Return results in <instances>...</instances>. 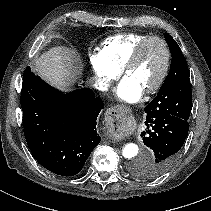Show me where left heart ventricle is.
Returning a JSON list of instances; mask_svg holds the SVG:
<instances>
[{
  "instance_id": "1",
  "label": "left heart ventricle",
  "mask_w": 211,
  "mask_h": 211,
  "mask_svg": "<svg viewBox=\"0 0 211 211\" xmlns=\"http://www.w3.org/2000/svg\"><path fill=\"white\" fill-rule=\"evenodd\" d=\"M164 65V51L158 42L148 43L138 61L126 73L146 91L155 84Z\"/></svg>"
}]
</instances>
